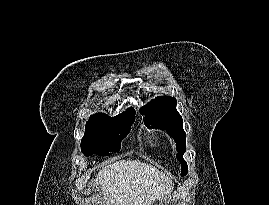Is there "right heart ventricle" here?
I'll return each mask as SVG.
<instances>
[{"label":"right heart ventricle","instance_id":"obj_1","mask_svg":"<svg viewBox=\"0 0 269 205\" xmlns=\"http://www.w3.org/2000/svg\"><path fill=\"white\" fill-rule=\"evenodd\" d=\"M152 142H153V143H155V142H156V140H155V139H153V140H152Z\"/></svg>","mask_w":269,"mask_h":205}]
</instances>
